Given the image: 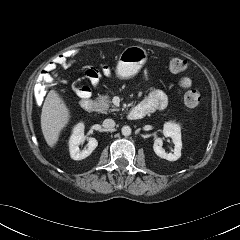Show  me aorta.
Here are the masks:
<instances>
[{
	"mask_svg": "<svg viewBox=\"0 0 240 240\" xmlns=\"http://www.w3.org/2000/svg\"><path fill=\"white\" fill-rule=\"evenodd\" d=\"M122 135L123 136H129L131 135V128L129 126H123L121 129Z\"/></svg>",
	"mask_w": 240,
	"mask_h": 240,
	"instance_id": "1",
	"label": "aorta"
}]
</instances>
